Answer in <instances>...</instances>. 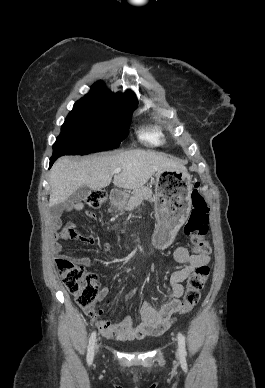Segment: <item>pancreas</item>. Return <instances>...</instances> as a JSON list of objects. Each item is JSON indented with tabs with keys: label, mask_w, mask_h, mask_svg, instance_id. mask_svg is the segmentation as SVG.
Here are the masks:
<instances>
[{
	"label": "pancreas",
	"mask_w": 265,
	"mask_h": 388,
	"mask_svg": "<svg viewBox=\"0 0 265 388\" xmlns=\"http://www.w3.org/2000/svg\"><path fill=\"white\" fill-rule=\"evenodd\" d=\"M133 196H131L125 210H134L137 206L142 204L143 200H153L152 198V190L148 188V186H141V188H136L132 192Z\"/></svg>",
	"instance_id": "pancreas-1"
}]
</instances>
